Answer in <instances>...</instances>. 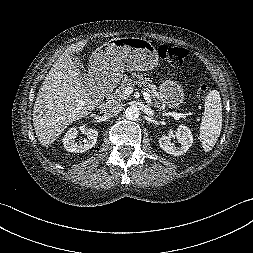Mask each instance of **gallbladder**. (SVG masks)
Instances as JSON below:
<instances>
[{
    "instance_id": "gallbladder-1",
    "label": "gallbladder",
    "mask_w": 253,
    "mask_h": 253,
    "mask_svg": "<svg viewBox=\"0 0 253 253\" xmlns=\"http://www.w3.org/2000/svg\"><path fill=\"white\" fill-rule=\"evenodd\" d=\"M80 80L86 86L87 78H86V73L84 71L81 72V79Z\"/></svg>"
}]
</instances>
